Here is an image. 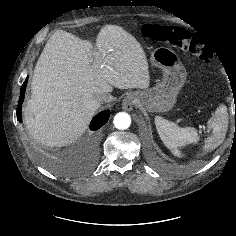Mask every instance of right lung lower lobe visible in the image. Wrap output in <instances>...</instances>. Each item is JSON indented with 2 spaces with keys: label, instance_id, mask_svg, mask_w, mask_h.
Wrapping results in <instances>:
<instances>
[{
  "label": "right lung lower lobe",
  "instance_id": "98d812e1",
  "mask_svg": "<svg viewBox=\"0 0 236 236\" xmlns=\"http://www.w3.org/2000/svg\"><path fill=\"white\" fill-rule=\"evenodd\" d=\"M27 81H28V77L26 78V80L24 81V83L21 87L19 102H18V106H17V119L20 120V121L22 120L21 110H22V103H23V100H24ZM109 116H110V111L109 110H106V111H103V112H100L99 114H97L91 121L90 129L92 131H96L99 128H101V126H103L108 121Z\"/></svg>",
  "mask_w": 236,
  "mask_h": 236
}]
</instances>
